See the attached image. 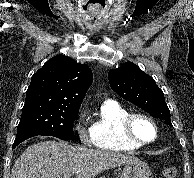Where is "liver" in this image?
<instances>
[{"label":"liver","mask_w":194,"mask_h":178,"mask_svg":"<svg viewBox=\"0 0 194 178\" xmlns=\"http://www.w3.org/2000/svg\"><path fill=\"white\" fill-rule=\"evenodd\" d=\"M137 161L129 154L50 140L29 146L16 160L11 178H61L72 174L92 178L104 170Z\"/></svg>","instance_id":"6515ba94"}]
</instances>
